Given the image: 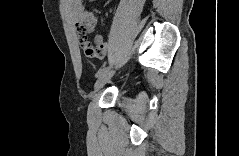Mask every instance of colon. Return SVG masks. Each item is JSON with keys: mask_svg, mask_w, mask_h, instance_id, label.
Returning <instances> with one entry per match:
<instances>
[{"mask_svg": "<svg viewBox=\"0 0 239 156\" xmlns=\"http://www.w3.org/2000/svg\"><path fill=\"white\" fill-rule=\"evenodd\" d=\"M93 27H94V24L92 23L91 20H87L84 23H80L77 26L78 34L83 37V39L81 40L83 49L85 52H88V53H92L95 50L94 46L87 39V33L92 31Z\"/></svg>", "mask_w": 239, "mask_h": 156, "instance_id": "obj_1", "label": "colon"}]
</instances>
